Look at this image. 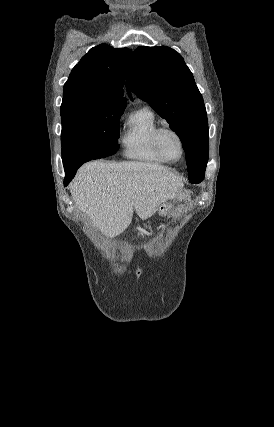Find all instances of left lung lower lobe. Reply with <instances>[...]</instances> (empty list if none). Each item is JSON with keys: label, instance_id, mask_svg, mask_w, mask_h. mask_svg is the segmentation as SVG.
<instances>
[{"label": "left lung lower lobe", "instance_id": "1", "mask_svg": "<svg viewBox=\"0 0 274 427\" xmlns=\"http://www.w3.org/2000/svg\"><path fill=\"white\" fill-rule=\"evenodd\" d=\"M188 177L191 183H200L204 179V176H188Z\"/></svg>", "mask_w": 274, "mask_h": 427}]
</instances>
